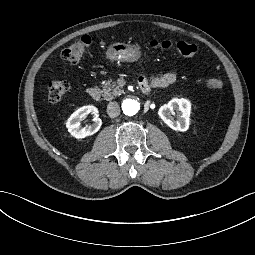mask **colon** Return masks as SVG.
I'll list each match as a JSON object with an SVG mask.
<instances>
[{
	"label": "colon",
	"mask_w": 255,
	"mask_h": 255,
	"mask_svg": "<svg viewBox=\"0 0 255 255\" xmlns=\"http://www.w3.org/2000/svg\"><path fill=\"white\" fill-rule=\"evenodd\" d=\"M94 38L89 35L82 36L79 40L67 46L61 53V57L69 64H77L84 53L92 46ZM149 47L153 50L174 51L185 57H192L196 54L197 48L193 44L186 42L171 43L169 41H152ZM223 82L220 79H211L207 82L210 89H220ZM69 83L64 80H51L48 82V98L51 102L61 101L69 91Z\"/></svg>",
	"instance_id": "1"
}]
</instances>
